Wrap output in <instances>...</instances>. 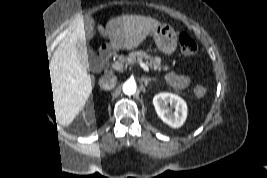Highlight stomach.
Returning a JSON list of instances; mask_svg holds the SVG:
<instances>
[{"label":"stomach","instance_id":"1","mask_svg":"<svg viewBox=\"0 0 267 178\" xmlns=\"http://www.w3.org/2000/svg\"><path fill=\"white\" fill-rule=\"evenodd\" d=\"M150 37L161 52L171 54L175 51L177 38L172 28L160 25L150 33Z\"/></svg>","mask_w":267,"mask_h":178}]
</instances>
